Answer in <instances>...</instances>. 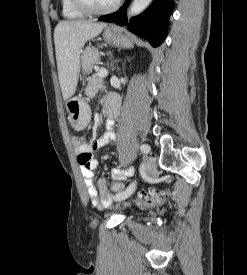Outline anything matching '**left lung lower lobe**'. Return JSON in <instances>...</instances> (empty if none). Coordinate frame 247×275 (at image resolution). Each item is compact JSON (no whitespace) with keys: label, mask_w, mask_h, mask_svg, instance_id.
Here are the masks:
<instances>
[{"label":"left lung lower lobe","mask_w":247,"mask_h":275,"mask_svg":"<svg viewBox=\"0 0 247 275\" xmlns=\"http://www.w3.org/2000/svg\"><path fill=\"white\" fill-rule=\"evenodd\" d=\"M131 0L115 13L100 17L98 20L126 25L127 7ZM173 0H154V2L140 15L130 19L127 28L132 33L147 39L153 47H158L166 38L169 16L173 10Z\"/></svg>","instance_id":"1"}]
</instances>
